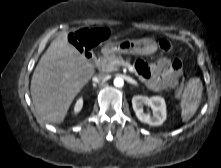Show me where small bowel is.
<instances>
[{
	"label": "small bowel",
	"instance_id": "1",
	"mask_svg": "<svg viewBox=\"0 0 221 168\" xmlns=\"http://www.w3.org/2000/svg\"><path fill=\"white\" fill-rule=\"evenodd\" d=\"M135 67L139 76L149 88L161 91L177 86L182 70V63L178 59L161 58L151 64L138 61Z\"/></svg>",
	"mask_w": 221,
	"mask_h": 168
}]
</instances>
